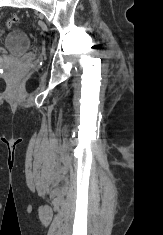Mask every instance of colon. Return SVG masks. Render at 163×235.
<instances>
[{"label": "colon", "mask_w": 163, "mask_h": 235, "mask_svg": "<svg viewBox=\"0 0 163 235\" xmlns=\"http://www.w3.org/2000/svg\"><path fill=\"white\" fill-rule=\"evenodd\" d=\"M18 22H19V17L17 15H13L7 20L6 25L8 28H11L17 25Z\"/></svg>", "instance_id": "5ec220e1"}]
</instances>
